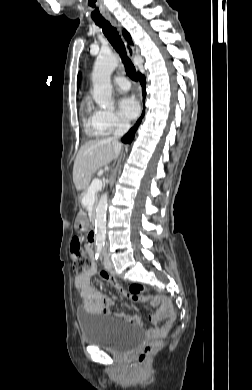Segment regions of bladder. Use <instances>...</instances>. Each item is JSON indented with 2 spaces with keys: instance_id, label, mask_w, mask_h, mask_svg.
I'll use <instances>...</instances> for the list:
<instances>
[{
  "instance_id": "1",
  "label": "bladder",
  "mask_w": 252,
  "mask_h": 390,
  "mask_svg": "<svg viewBox=\"0 0 252 390\" xmlns=\"http://www.w3.org/2000/svg\"><path fill=\"white\" fill-rule=\"evenodd\" d=\"M78 322L85 343L114 352L133 349L144 339L142 328L101 315L79 311Z\"/></svg>"
}]
</instances>
